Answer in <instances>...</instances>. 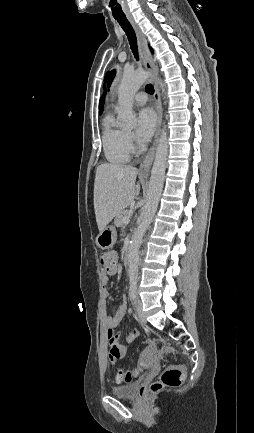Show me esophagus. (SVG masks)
I'll use <instances>...</instances> for the list:
<instances>
[{"instance_id": "34e87169", "label": "esophagus", "mask_w": 254, "mask_h": 433, "mask_svg": "<svg viewBox=\"0 0 254 433\" xmlns=\"http://www.w3.org/2000/svg\"><path fill=\"white\" fill-rule=\"evenodd\" d=\"M130 23L132 24L135 33L137 35L138 45L141 52V56L145 65V68L148 70V72L151 75V81L154 87V101H155V108L157 112V127H156V133L154 137L153 144L151 145L144 161L140 165L139 175L143 178H147L149 176L150 167L154 159L155 151L159 143V137H160V131H161V123H162V105H161V97H160V91L159 87L156 81V78L158 76V68L155 64V61L153 60L148 46L147 41L145 38V35L141 31L140 27L135 23V21L132 18H129Z\"/></svg>"}]
</instances>
